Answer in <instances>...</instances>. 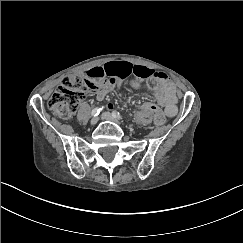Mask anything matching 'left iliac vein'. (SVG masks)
<instances>
[{"label":"left iliac vein","instance_id":"1","mask_svg":"<svg viewBox=\"0 0 243 243\" xmlns=\"http://www.w3.org/2000/svg\"><path fill=\"white\" fill-rule=\"evenodd\" d=\"M102 118L107 121H111V122H114V123L120 125V122L109 112H104L102 114Z\"/></svg>","mask_w":243,"mask_h":243}]
</instances>
